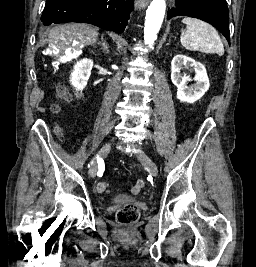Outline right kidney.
<instances>
[{
	"label": "right kidney",
	"mask_w": 256,
	"mask_h": 267,
	"mask_svg": "<svg viewBox=\"0 0 256 267\" xmlns=\"http://www.w3.org/2000/svg\"><path fill=\"white\" fill-rule=\"evenodd\" d=\"M93 62L84 58V60H79L76 62L72 72L69 82L71 86H74L75 90H84L87 86V82L91 76Z\"/></svg>",
	"instance_id": "right-kidney-1"
}]
</instances>
